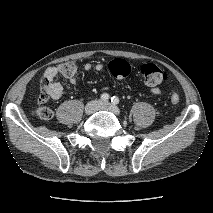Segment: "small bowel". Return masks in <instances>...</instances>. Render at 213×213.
<instances>
[{"instance_id": "c3829d8e", "label": "small bowel", "mask_w": 213, "mask_h": 213, "mask_svg": "<svg viewBox=\"0 0 213 213\" xmlns=\"http://www.w3.org/2000/svg\"><path fill=\"white\" fill-rule=\"evenodd\" d=\"M109 65L103 61L97 62L95 64L87 63L85 65V70L91 71V70L95 69L97 71H102ZM58 73H59V69L57 67L50 66L45 70L44 75H43V78H44L43 87L46 88L50 97L54 100L60 99L64 94V88H63L62 84L56 80ZM72 81L74 82L75 79H72ZM151 91L155 95L160 94V89L158 87L152 88Z\"/></svg>"}]
</instances>
